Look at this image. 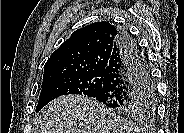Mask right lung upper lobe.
Masks as SVG:
<instances>
[{"label": "right lung upper lobe", "instance_id": "1", "mask_svg": "<svg viewBox=\"0 0 184 133\" xmlns=\"http://www.w3.org/2000/svg\"><path fill=\"white\" fill-rule=\"evenodd\" d=\"M119 37L120 30L107 21L73 32L44 65L42 86L64 77L103 74Z\"/></svg>", "mask_w": 184, "mask_h": 133}]
</instances>
